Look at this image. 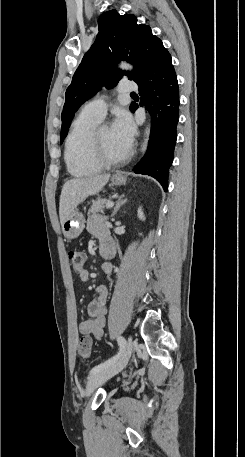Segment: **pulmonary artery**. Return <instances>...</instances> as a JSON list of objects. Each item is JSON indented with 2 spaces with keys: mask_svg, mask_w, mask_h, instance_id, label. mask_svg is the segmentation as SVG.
Instances as JSON below:
<instances>
[{
  "mask_svg": "<svg viewBox=\"0 0 245 457\" xmlns=\"http://www.w3.org/2000/svg\"><path fill=\"white\" fill-rule=\"evenodd\" d=\"M118 87L119 95H132L133 90H140L141 83L137 80H119ZM106 110V102L104 100H98L83 105L80 115L101 120L105 116Z\"/></svg>",
  "mask_w": 245,
  "mask_h": 457,
  "instance_id": "pulmonary-artery-1",
  "label": "pulmonary artery"
}]
</instances>
